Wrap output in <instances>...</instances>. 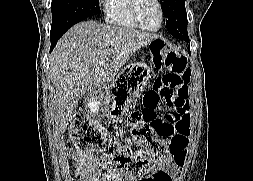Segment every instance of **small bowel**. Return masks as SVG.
Returning a JSON list of instances; mask_svg holds the SVG:
<instances>
[{"label":"small bowel","mask_w":253,"mask_h":181,"mask_svg":"<svg viewBox=\"0 0 253 181\" xmlns=\"http://www.w3.org/2000/svg\"><path fill=\"white\" fill-rule=\"evenodd\" d=\"M189 106V105H188ZM174 130H180L174 142L176 157L167 162L164 167H150L151 176L144 181H172L173 177L177 178L179 172L185 164L187 148L189 145V134L192 126L189 117H185L173 126ZM73 168L80 181H134L135 177L131 174L116 175L101 171L92 156L80 151L72 149L70 151ZM177 156L179 159H177Z\"/></svg>","instance_id":"small-bowel-1"}]
</instances>
